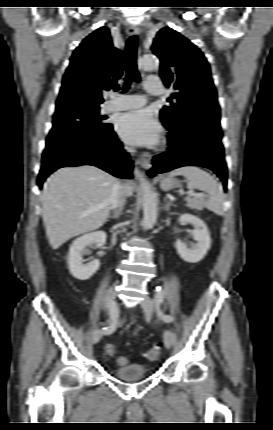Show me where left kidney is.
Instances as JSON below:
<instances>
[{
    "mask_svg": "<svg viewBox=\"0 0 273 430\" xmlns=\"http://www.w3.org/2000/svg\"><path fill=\"white\" fill-rule=\"evenodd\" d=\"M182 224L189 223L194 226L191 235L196 243L183 242L177 240L175 247L179 256L188 263H197L201 261L211 246L209 230L203 220L192 214H182L179 218Z\"/></svg>",
    "mask_w": 273,
    "mask_h": 430,
    "instance_id": "1",
    "label": "left kidney"
}]
</instances>
